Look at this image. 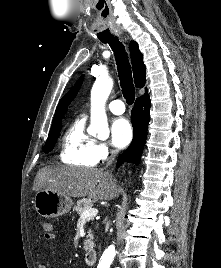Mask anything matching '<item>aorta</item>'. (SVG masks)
Wrapping results in <instances>:
<instances>
[{
    "label": "aorta",
    "mask_w": 221,
    "mask_h": 268,
    "mask_svg": "<svg viewBox=\"0 0 221 268\" xmlns=\"http://www.w3.org/2000/svg\"><path fill=\"white\" fill-rule=\"evenodd\" d=\"M113 88V80L109 77L96 79L91 90V119L89 132L99 138L109 135L105 103ZM115 255L114 245H110L103 254V261L110 263Z\"/></svg>",
    "instance_id": "obj_1"
}]
</instances>
